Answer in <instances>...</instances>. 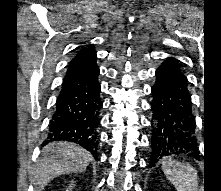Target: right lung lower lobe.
Instances as JSON below:
<instances>
[{
    "label": "right lung lower lobe",
    "instance_id": "right-lung-lower-lobe-1",
    "mask_svg": "<svg viewBox=\"0 0 221 191\" xmlns=\"http://www.w3.org/2000/svg\"><path fill=\"white\" fill-rule=\"evenodd\" d=\"M98 75L95 52L76 56L70 62L43 145L72 141L97 156L102 109Z\"/></svg>",
    "mask_w": 221,
    "mask_h": 191
}]
</instances>
